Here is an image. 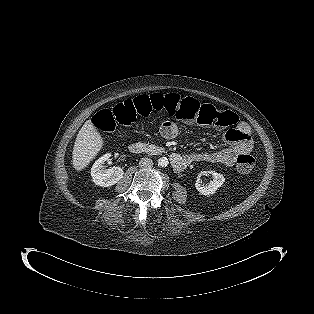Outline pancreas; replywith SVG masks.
Wrapping results in <instances>:
<instances>
[{
  "label": "pancreas",
  "mask_w": 314,
  "mask_h": 314,
  "mask_svg": "<svg viewBox=\"0 0 314 314\" xmlns=\"http://www.w3.org/2000/svg\"><path fill=\"white\" fill-rule=\"evenodd\" d=\"M145 152L150 155L162 154L165 152L163 147H158L154 144H145Z\"/></svg>",
  "instance_id": "cf45deb5"
}]
</instances>
